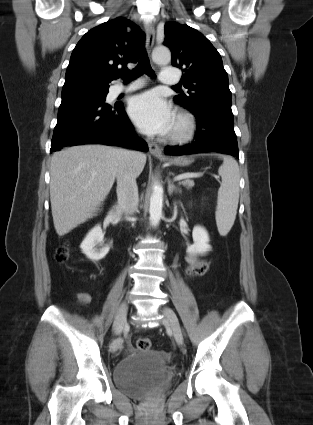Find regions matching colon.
<instances>
[{
  "mask_svg": "<svg viewBox=\"0 0 313 425\" xmlns=\"http://www.w3.org/2000/svg\"><path fill=\"white\" fill-rule=\"evenodd\" d=\"M68 257L69 249L67 246H61L57 249L55 259L58 263H65L68 260ZM209 267V262H203L199 266L187 267L185 273L188 278L193 279L204 275L209 270ZM136 346L139 350L146 351L151 349L152 343L150 339L146 337H140L136 341Z\"/></svg>",
  "mask_w": 313,
  "mask_h": 425,
  "instance_id": "1",
  "label": "colon"
}]
</instances>
